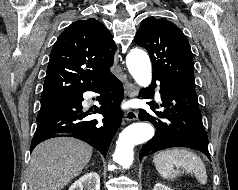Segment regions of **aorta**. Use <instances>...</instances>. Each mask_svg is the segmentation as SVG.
<instances>
[{
    "mask_svg": "<svg viewBox=\"0 0 238 190\" xmlns=\"http://www.w3.org/2000/svg\"><path fill=\"white\" fill-rule=\"evenodd\" d=\"M128 70L140 87H147L151 81V63L141 49H132L127 55ZM154 136L153 127L146 122H136L126 127L119 135L113 160L129 167L133 162V149L136 145L149 141Z\"/></svg>",
    "mask_w": 238,
    "mask_h": 190,
    "instance_id": "aorta-1",
    "label": "aorta"
}]
</instances>
